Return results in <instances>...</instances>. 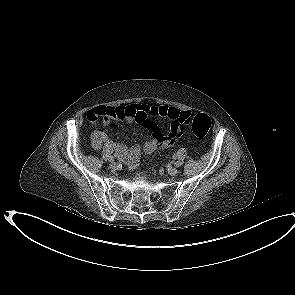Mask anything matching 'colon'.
Masks as SVG:
<instances>
[{"label":"colon","mask_w":295,"mask_h":295,"mask_svg":"<svg viewBox=\"0 0 295 295\" xmlns=\"http://www.w3.org/2000/svg\"><path fill=\"white\" fill-rule=\"evenodd\" d=\"M178 121L181 125V130L183 126L190 127L193 133L198 137H204L211 127V119L204 113H190L188 115L182 114L179 116ZM156 148L157 142L153 139H148L145 141L144 145L141 146L140 153L144 157H149L152 155L153 151L156 150Z\"/></svg>","instance_id":"obj_1"}]
</instances>
